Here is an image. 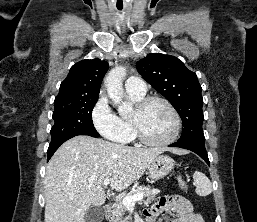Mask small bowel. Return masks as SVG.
I'll return each mask as SVG.
<instances>
[{
    "label": "small bowel",
    "mask_w": 257,
    "mask_h": 222,
    "mask_svg": "<svg viewBox=\"0 0 257 222\" xmlns=\"http://www.w3.org/2000/svg\"><path fill=\"white\" fill-rule=\"evenodd\" d=\"M168 213L174 214L170 222H204L198 213L193 212L190 201L178 195L161 197L151 209L145 211V222H156Z\"/></svg>",
    "instance_id": "obj_1"
}]
</instances>
